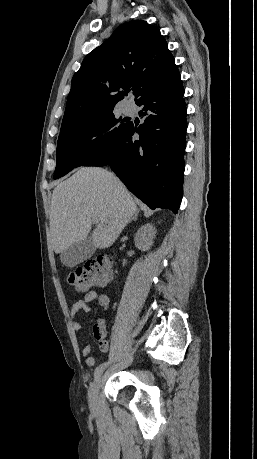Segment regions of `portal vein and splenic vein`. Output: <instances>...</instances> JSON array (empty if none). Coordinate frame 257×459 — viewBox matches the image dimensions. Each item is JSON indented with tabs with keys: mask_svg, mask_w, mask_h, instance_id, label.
<instances>
[{
	"mask_svg": "<svg viewBox=\"0 0 257 459\" xmlns=\"http://www.w3.org/2000/svg\"><path fill=\"white\" fill-rule=\"evenodd\" d=\"M93 221H94L95 223H98V222H99V219H98V218H94Z\"/></svg>",
	"mask_w": 257,
	"mask_h": 459,
	"instance_id": "1",
	"label": "portal vein and splenic vein"
}]
</instances>
